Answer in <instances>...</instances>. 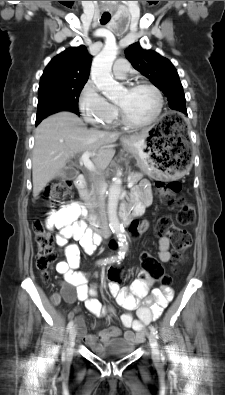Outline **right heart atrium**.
I'll return each mask as SVG.
<instances>
[{
    "mask_svg": "<svg viewBox=\"0 0 225 395\" xmlns=\"http://www.w3.org/2000/svg\"><path fill=\"white\" fill-rule=\"evenodd\" d=\"M79 109L83 119L95 127L109 126L117 117L116 108L99 93L92 81H88L80 93Z\"/></svg>",
    "mask_w": 225,
    "mask_h": 395,
    "instance_id": "right-heart-atrium-1",
    "label": "right heart atrium"
}]
</instances>
